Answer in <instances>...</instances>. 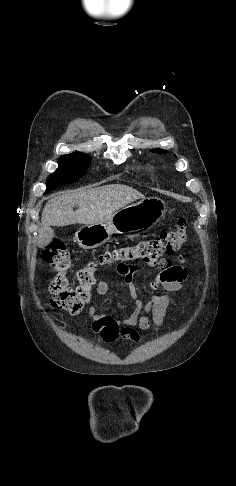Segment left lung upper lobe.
I'll return each mask as SVG.
<instances>
[{
  "label": "left lung upper lobe",
  "mask_w": 236,
  "mask_h": 486,
  "mask_svg": "<svg viewBox=\"0 0 236 486\" xmlns=\"http://www.w3.org/2000/svg\"><path fill=\"white\" fill-rule=\"evenodd\" d=\"M152 151H153V152H156V153H162V154H163V153H167V151H166V150H161V149H154V150H152Z\"/></svg>",
  "instance_id": "5c2ea615"
}]
</instances>
